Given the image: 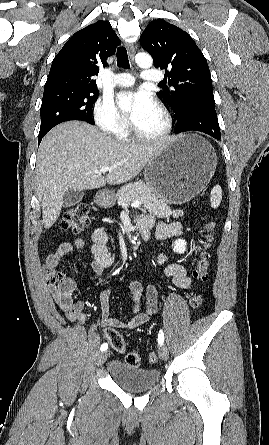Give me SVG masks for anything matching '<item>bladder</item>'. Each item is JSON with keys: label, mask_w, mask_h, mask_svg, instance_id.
Masks as SVG:
<instances>
[{"label": "bladder", "mask_w": 269, "mask_h": 445, "mask_svg": "<svg viewBox=\"0 0 269 445\" xmlns=\"http://www.w3.org/2000/svg\"><path fill=\"white\" fill-rule=\"evenodd\" d=\"M108 373L121 388L129 391H143L154 387L160 380L158 369H142L113 360L108 364Z\"/></svg>", "instance_id": "31cf9c89"}]
</instances>
